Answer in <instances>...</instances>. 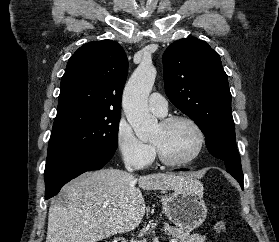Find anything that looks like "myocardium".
<instances>
[{"instance_id": "myocardium-1", "label": "myocardium", "mask_w": 279, "mask_h": 242, "mask_svg": "<svg viewBox=\"0 0 279 242\" xmlns=\"http://www.w3.org/2000/svg\"><path fill=\"white\" fill-rule=\"evenodd\" d=\"M176 122H185V123L189 124L196 132L198 141H197V146H196V149L194 150V152L189 157L182 159V160L169 159L168 157H166L164 155V153L161 151V149L155 143H152L154 151H155L158 159L160 160V162L163 163L164 165L170 166V167H181V166H186V165L191 164L193 161H195L200 156V154L202 153V151L205 147V144H206V135H205L203 128L200 126V124L195 119H193L190 116L172 115V116L162 119L161 122L159 123V125L163 128H167Z\"/></svg>"}]
</instances>
